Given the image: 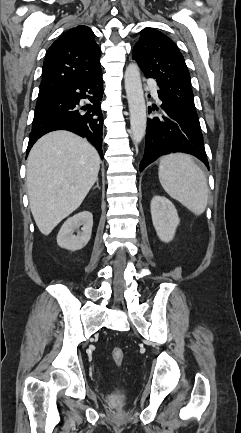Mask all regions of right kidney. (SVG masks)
Wrapping results in <instances>:
<instances>
[{"label":"right kidney","instance_id":"1","mask_svg":"<svg viewBox=\"0 0 241 433\" xmlns=\"http://www.w3.org/2000/svg\"><path fill=\"white\" fill-rule=\"evenodd\" d=\"M81 227V232L73 235V231ZM93 215L89 211H82L68 218L62 225L58 235L57 244L64 249L76 251L87 245L91 238Z\"/></svg>","mask_w":241,"mask_h":433}]
</instances>
